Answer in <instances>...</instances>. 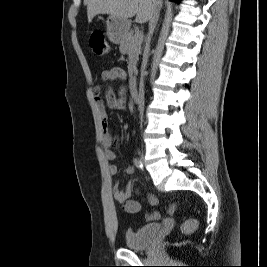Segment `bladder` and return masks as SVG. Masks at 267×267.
Instances as JSON below:
<instances>
[{
    "label": "bladder",
    "instance_id": "1",
    "mask_svg": "<svg viewBox=\"0 0 267 267\" xmlns=\"http://www.w3.org/2000/svg\"><path fill=\"white\" fill-rule=\"evenodd\" d=\"M161 229L158 223L145 224L137 229L127 230L125 233V245L131 250H143L150 246Z\"/></svg>",
    "mask_w": 267,
    "mask_h": 267
}]
</instances>
